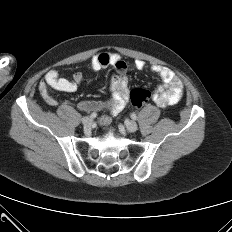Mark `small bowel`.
Wrapping results in <instances>:
<instances>
[{
    "label": "small bowel",
    "mask_w": 232,
    "mask_h": 232,
    "mask_svg": "<svg viewBox=\"0 0 232 232\" xmlns=\"http://www.w3.org/2000/svg\"><path fill=\"white\" fill-rule=\"evenodd\" d=\"M108 66H112L116 70L110 81L112 98L108 101L84 100L77 104V108L83 112L107 110L110 114L100 117L99 123L101 125H108L112 120L111 115H116L125 108L130 95L127 75L129 66L118 54L100 52L94 55L90 62V68L95 72ZM134 67L137 70H143L146 64L137 59L134 61ZM151 71L158 75L163 82L154 93V102L162 108L176 104L183 95L184 87L181 79L169 68L158 64L152 65ZM83 79L82 72L74 73L71 78H63L56 70H50L45 75L44 80L40 82L39 91L48 105L56 106L58 101L50 94L49 88L72 93L77 90Z\"/></svg>",
    "instance_id": "small-bowel-1"
}]
</instances>
